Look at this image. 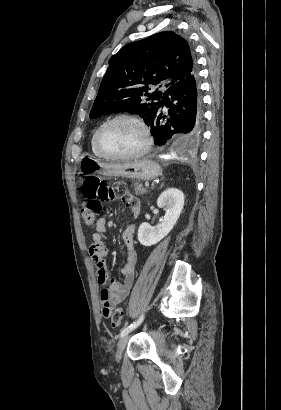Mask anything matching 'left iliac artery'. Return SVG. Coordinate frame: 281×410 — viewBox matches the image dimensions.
Returning a JSON list of instances; mask_svg holds the SVG:
<instances>
[{
  "label": "left iliac artery",
  "mask_w": 281,
  "mask_h": 410,
  "mask_svg": "<svg viewBox=\"0 0 281 410\" xmlns=\"http://www.w3.org/2000/svg\"><path fill=\"white\" fill-rule=\"evenodd\" d=\"M143 320V315L137 320L136 322L130 324L129 326L125 327L121 332H120V337L128 334L130 331H132L135 327H137Z\"/></svg>",
  "instance_id": "obj_1"
}]
</instances>
